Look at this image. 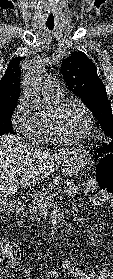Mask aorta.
<instances>
[{"label":"aorta","instance_id":"obj_1","mask_svg":"<svg viewBox=\"0 0 113 279\" xmlns=\"http://www.w3.org/2000/svg\"><path fill=\"white\" fill-rule=\"evenodd\" d=\"M36 109L42 110L43 109V103L40 100H37L36 102Z\"/></svg>","mask_w":113,"mask_h":279}]
</instances>
